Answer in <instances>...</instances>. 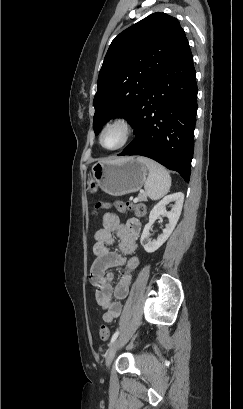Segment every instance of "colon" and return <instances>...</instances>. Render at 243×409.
<instances>
[{
  "instance_id": "1",
  "label": "colon",
  "mask_w": 243,
  "mask_h": 409,
  "mask_svg": "<svg viewBox=\"0 0 243 409\" xmlns=\"http://www.w3.org/2000/svg\"><path fill=\"white\" fill-rule=\"evenodd\" d=\"M114 205L120 212L132 211L137 217H144L147 213V208L144 204L132 203L130 201L111 203H97L94 207L93 214L97 215L102 209L109 208ZM110 332L107 326L103 325L99 329V337L101 341L106 342L109 338Z\"/></svg>"
}]
</instances>
